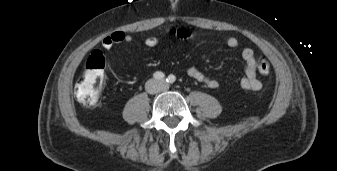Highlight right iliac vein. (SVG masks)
I'll use <instances>...</instances> for the list:
<instances>
[{
	"label": "right iliac vein",
	"instance_id": "1",
	"mask_svg": "<svg viewBox=\"0 0 337 171\" xmlns=\"http://www.w3.org/2000/svg\"><path fill=\"white\" fill-rule=\"evenodd\" d=\"M155 87V83L153 82V81H151L150 83H149V88H154Z\"/></svg>",
	"mask_w": 337,
	"mask_h": 171
}]
</instances>
